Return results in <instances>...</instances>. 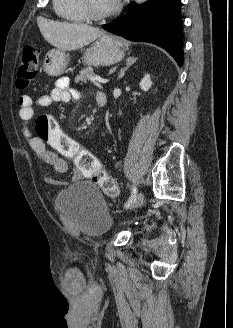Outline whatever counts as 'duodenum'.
<instances>
[{
	"label": "duodenum",
	"mask_w": 233,
	"mask_h": 328,
	"mask_svg": "<svg viewBox=\"0 0 233 328\" xmlns=\"http://www.w3.org/2000/svg\"><path fill=\"white\" fill-rule=\"evenodd\" d=\"M97 102L100 106H105L107 103V98L104 93H99L97 96Z\"/></svg>",
	"instance_id": "1"
}]
</instances>
